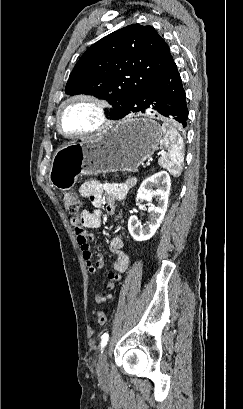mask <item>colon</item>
Segmentation results:
<instances>
[{
  "label": "colon",
  "mask_w": 243,
  "mask_h": 409,
  "mask_svg": "<svg viewBox=\"0 0 243 409\" xmlns=\"http://www.w3.org/2000/svg\"><path fill=\"white\" fill-rule=\"evenodd\" d=\"M62 202L64 204L65 210L72 216H77L81 208L80 199L71 193H63L61 195ZM78 231L83 233L84 230L79 228ZM96 320L99 325H104L107 322V316L103 311H97Z\"/></svg>",
  "instance_id": "obj_1"
}]
</instances>
